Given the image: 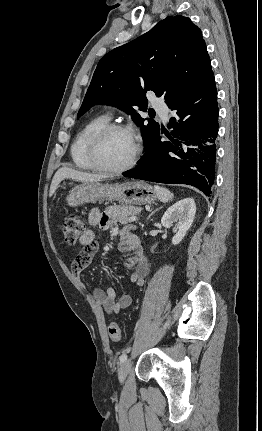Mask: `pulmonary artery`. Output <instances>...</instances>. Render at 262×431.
I'll use <instances>...</instances> for the list:
<instances>
[{
    "label": "pulmonary artery",
    "instance_id": "obj_1",
    "mask_svg": "<svg viewBox=\"0 0 262 431\" xmlns=\"http://www.w3.org/2000/svg\"><path fill=\"white\" fill-rule=\"evenodd\" d=\"M153 107L156 110H158V112L161 113L164 120L167 119L169 110H168L167 106L165 105L163 99H161V98L155 99V101L153 102Z\"/></svg>",
    "mask_w": 262,
    "mask_h": 431
}]
</instances>
